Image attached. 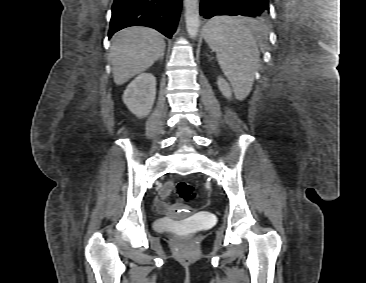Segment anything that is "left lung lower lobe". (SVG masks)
Segmentation results:
<instances>
[{
	"mask_svg": "<svg viewBox=\"0 0 366 283\" xmlns=\"http://www.w3.org/2000/svg\"><path fill=\"white\" fill-rule=\"evenodd\" d=\"M265 12L267 6L261 0H202L200 3V15L205 19L218 15L255 18Z\"/></svg>",
	"mask_w": 366,
	"mask_h": 283,
	"instance_id": "obj_1",
	"label": "left lung lower lobe"
}]
</instances>
